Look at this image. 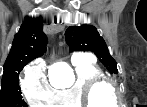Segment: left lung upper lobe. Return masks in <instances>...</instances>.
<instances>
[{
    "label": "left lung upper lobe",
    "instance_id": "1",
    "mask_svg": "<svg viewBox=\"0 0 147 107\" xmlns=\"http://www.w3.org/2000/svg\"><path fill=\"white\" fill-rule=\"evenodd\" d=\"M65 36L71 51H92L110 73H118L116 61L109 54L104 39L94 26H70L65 31Z\"/></svg>",
    "mask_w": 147,
    "mask_h": 107
}]
</instances>
